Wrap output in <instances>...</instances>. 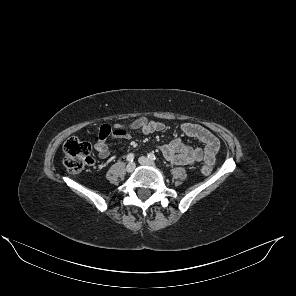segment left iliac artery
I'll use <instances>...</instances> for the list:
<instances>
[{
	"label": "left iliac artery",
	"mask_w": 296,
	"mask_h": 296,
	"mask_svg": "<svg viewBox=\"0 0 296 296\" xmlns=\"http://www.w3.org/2000/svg\"><path fill=\"white\" fill-rule=\"evenodd\" d=\"M148 158H149L151 161H155V160H156V156H155L153 153H149V154H148Z\"/></svg>",
	"instance_id": "obj_1"
}]
</instances>
